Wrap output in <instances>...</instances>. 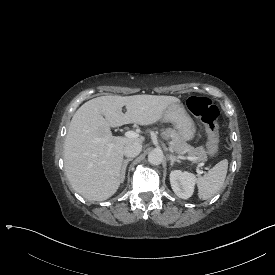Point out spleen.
Segmentation results:
<instances>
[{"label": "spleen", "mask_w": 275, "mask_h": 275, "mask_svg": "<svg viewBox=\"0 0 275 275\" xmlns=\"http://www.w3.org/2000/svg\"><path fill=\"white\" fill-rule=\"evenodd\" d=\"M228 169V160L218 162L203 177L196 180L199 198L207 200L222 188Z\"/></svg>", "instance_id": "spleen-1"}]
</instances>
